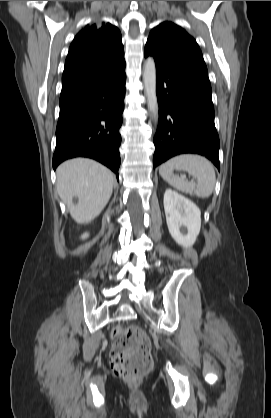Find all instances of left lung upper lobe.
Listing matches in <instances>:
<instances>
[{
	"mask_svg": "<svg viewBox=\"0 0 271 418\" xmlns=\"http://www.w3.org/2000/svg\"><path fill=\"white\" fill-rule=\"evenodd\" d=\"M147 44L163 56L208 74L201 50L195 39L184 29L163 22L149 34Z\"/></svg>",
	"mask_w": 271,
	"mask_h": 418,
	"instance_id": "obj_1",
	"label": "left lung upper lobe"
}]
</instances>
